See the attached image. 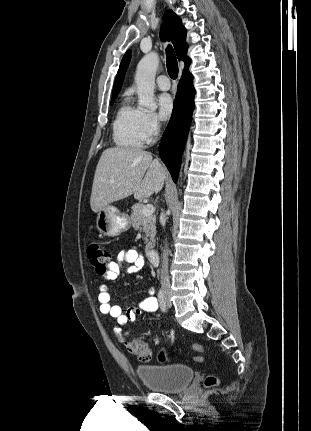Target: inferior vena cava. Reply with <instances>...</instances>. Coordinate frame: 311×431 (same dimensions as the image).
<instances>
[{"instance_id":"inferior-vena-cava-1","label":"inferior vena cava","mask_w":311,"mask_h":431,"mask_svg":"<svg viewBox=\"0 0 311 431\" xmlns=\"http://www.w3.org/2000/svg\"><path fill=\"white\" fill-rule=\"evenodd\" d=\"M162 225H165V223H162ZM161 285L164 287V291H169L170 281L168 275V249H166V247H164L162 253Z\"/></svg>"}]
</instances>
